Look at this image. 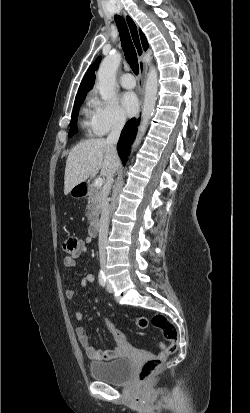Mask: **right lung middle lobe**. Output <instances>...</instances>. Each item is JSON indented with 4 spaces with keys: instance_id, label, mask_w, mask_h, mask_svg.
I'll return each mask as SVG.
<instances>
[{
    "instance_id": "dd1d6c3e",
    "label": "right lung middle lobe",
    "mask_w": 250,
    "mask_h": 413,
    "mask_svg": "<svg viewBox=\"0 0 250 413\" xmlns=\"http://www.w3.org/2000/svg\"><path fill=\"white\" fill-rule=\"evenodd\" d=\"M85 98V95L79 96L75 98V104L72 112V118L70 122V130H69V135L72 136L77 132V127H76V121L78 117V108L82 104L83 100Z\"/></svg>"
}]
</instances>
